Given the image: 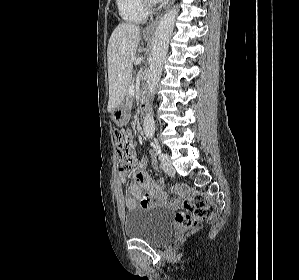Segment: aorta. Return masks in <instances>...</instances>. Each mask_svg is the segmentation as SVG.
I'll return each instance as SVG.
<instances>
[{"label": "aorta", "mask_w": 299, "mask_h": 280, "mask_svg": "<svg viewBox=\"0 0 299 280\" xmlns=\"http://www.w3.org/2000/svg\"><path fill=\"white\" fill-rule=\"evenodd\" d=\"M178 11V6H173L162 17L154 34L147 76V88L150 97L155 94L156 88L161 78L164 59L168 51L169 41L175 26ZM143 129L147 137H152L154 135L155 122L151 109L144 119Z\"/></svg>", "instance_id": "762f6f07"}]
</instances>
